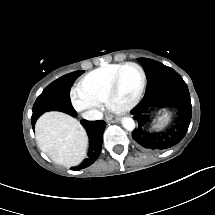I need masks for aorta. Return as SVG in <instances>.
<instances>
[{"mask_svg": "<svg viewBox=\"0 0 215 215\" xmlns=\"http://www.w3.org/2000/svg\"><path fill=\"white\" fill-rule=\"evenodd\" d=\"M121 123L124 128L132 130L135 127V122L131 117H122Z\"/></svg>", "mask_w": 215, "mask_h": 215, "instance_id": "obj_1", "label": "aorta"}]
</instances>
